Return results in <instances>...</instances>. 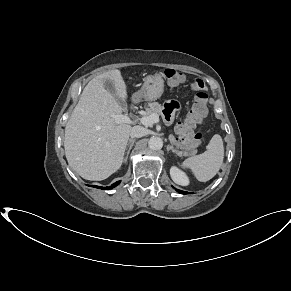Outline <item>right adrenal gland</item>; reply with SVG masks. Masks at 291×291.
Wrapping results in <instances>:
<instances>
[{"label": "right adrenal gland", "instance_id": "2a0ac1e0", "mask_svg": "<svg viewBox=\"0 0 291 291\" xmlns=\"http://www.w3.org/2000/svg\"><path fill=\"white\" fill-rule=\"evenodd\" d=\"M134 142H135V139H129V141H128V150H127V155H126V158H125V162L127 161V158H128V155H129V153H130V150L132 149V147H133V144H134Z\"/></svg>", "mask_w": 291, "mask_h": 291}]
</instances>
